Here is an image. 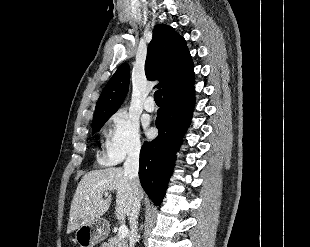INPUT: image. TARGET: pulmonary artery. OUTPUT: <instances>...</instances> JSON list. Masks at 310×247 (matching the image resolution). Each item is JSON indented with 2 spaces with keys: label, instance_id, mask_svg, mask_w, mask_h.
<instances>
[{
  "label": "pulmonary artery",
  "instance_id": "pulmonary-artery-1",
  "mask_svg": "<svg viewBox=\"0 0 310 247\" xmlns=\"http://www.w3.org/2000/svg\"><path fill=\"white\" fill-rule=\"evenodd\" d=\"M144 109L148 112H153L155 110V103L152 97H148L144 102Z\"/></svg>",
  "mask_w": 310,
  "mask_h": 247
}]
</instances>
